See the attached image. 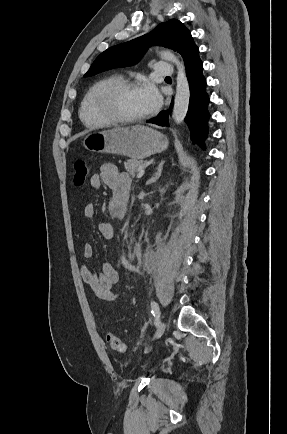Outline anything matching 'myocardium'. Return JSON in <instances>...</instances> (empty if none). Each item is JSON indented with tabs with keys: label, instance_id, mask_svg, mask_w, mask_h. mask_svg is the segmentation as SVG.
<instances>
[{
	"label": "myocardium",
	"instance_id": "1",
	"mask_svg": "<svg viewBox=\"0 0 287 434\" xmlns=\"http://www.w3.org/2000/svg\"><path fill=\"white\" fill-rule=\"evenodd\" d=\"M138 81L118 79L104 84L97 92L94 105L97 113L114 124H134L144 121L150 115L148 112L138 117H123L119 115L114 106L115 96L126 89L137 88Z\"/></svg>",
	"mask_w": 287,
	"mask_h": 434
}]
</instances>
